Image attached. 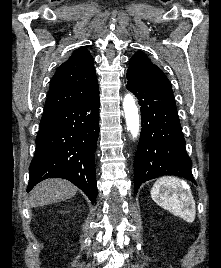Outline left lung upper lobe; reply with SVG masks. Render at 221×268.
<instances>
[{
	"label": "left lung upper lobe",
	"mask_w": 221,
	"mask_h": 268,
	"mask_svg": "<svg viewBox=\"0 0 221 268\" xmlns=\"http://www.w3.org/2000/svg\"><path fill=\"white\" fill-rule=\"evenodd\" d=\"M127 80L145 88L172 92L166 75L141 51L129 60Z\"/></svg>",
	"instance_id": "1"
}]
</instances>
